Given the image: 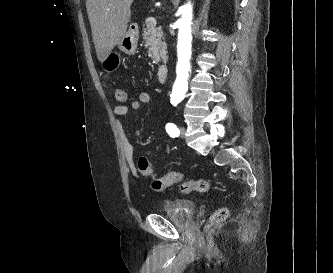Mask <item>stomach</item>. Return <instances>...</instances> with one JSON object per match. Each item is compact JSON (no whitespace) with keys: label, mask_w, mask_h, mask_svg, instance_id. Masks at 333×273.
<instances>
[{"label":"stomach","mask_w":333,"mask_h":273,"mask_svg":"<svg viewBox=\"0 0 333 273\" xmlns=\"http://www.w3.org/2000/svg\"><path fill=\"white\" fill-rule=\"evenodd\" d=\"M138 33L136 28L130 27L125 35L121 38L118 43V47L121 51L128 55H133L137 49ZM116 54L108 53L107 58L103 61V67L106 70H112L116 66Z\"/></svg>","instance_id":"1"}]
</instances>
